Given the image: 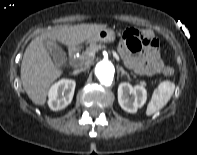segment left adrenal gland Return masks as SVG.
<instances>
[{
  "label": "left adrenal gland",
  "mask_w": 197,
  "mask_h": 155,
  "mask_svg": "<svg viewBox=\"0 0 197 155\" xmlns=\"http://www.w3.org/2000/svg\"><path fill=\"white\" fill-rule=\"evenodd\" d=\"M119 70L121 71V76H122V75H126L127 78L130 80L129 74H128L122 67H119Z\"/></svg>",
  "instance_id": "obj_1"
}]
</instances>
